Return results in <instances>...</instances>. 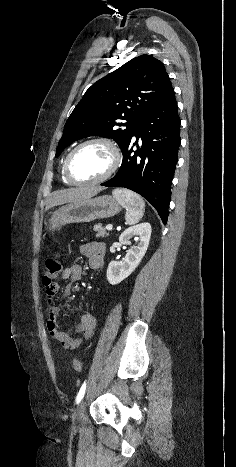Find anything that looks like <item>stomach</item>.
<instances>
[{"mask_svg":"<svg viewBox=\"0 0 236 467\" xmlns=\"http://www.w3.org/2000/svg\"><path fill=\"white\" fill-rule=\"evenodd\" d=\"M120 210V203L110 195L71 202L52 214L49 220V230L53 232L66 224L112 217Z\"/></svg>","mask_w":236,"mask_h":467,"instance_id":"stomach-1","label":"stomach"}]
</instances>
